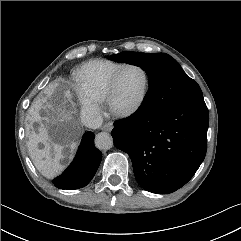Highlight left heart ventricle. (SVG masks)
I'll use <instances>...</instances> for the list:
<instances>
[{
    "mask_svg": "<svg viewBox=\"0 0 241 241\" xmlns=\"http://www.w3.org/2000/svg\"><path fill=\"white\" fill-rule=\"evenodd\" d=\"M145 82L143 72L135 67L125 69L118 78L113 104L117 109H126L139 98Z\"/></svg>",
    "mask_w": 241,
    "mask_h": 241,
    "instance_id": "b2bd125f",
    "label": "left heart ventricle"
}]
</instances>
